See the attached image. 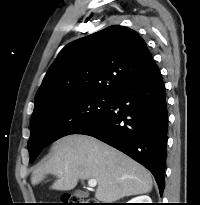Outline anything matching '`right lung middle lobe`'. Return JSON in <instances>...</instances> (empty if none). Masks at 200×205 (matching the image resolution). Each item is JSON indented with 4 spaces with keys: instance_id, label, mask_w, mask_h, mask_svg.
I'll return each mask as SVG.
<instances>
[{
    "instance_id": "right-lung-middle-lobe-1",
    "label": "right lung middle lobe",
    "mask_w": 200,
    "mask_h": 205,
    "mask_svg": "<svg viewBox=\"0 0 200 205\" xmlns=\"http://www.w3.org/2000/svg\"><path fill=\"white\" fill-rule=\"evenodd\" d=\"M112 97L86 95L52 104L32 117L28 141L32 163L44 147L92 125L109 110Z\"/></svg>"
}]
</instances>
